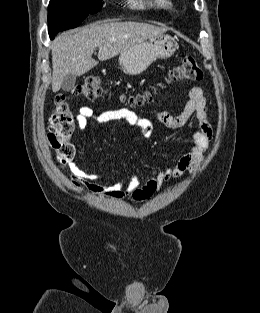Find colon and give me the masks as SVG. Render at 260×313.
<instances>
[{
	"instance_id": "obj_1",
	"label": "colon",
	"mask_w": 260,
	"mask_h": 313,
	"mask_svg": "<svg viewBox=\"0 0 260 313\" xmlns=\"http://www.w3.org/2000/svg\"><path fill=\"white\" fill-rule=\"evenodd\" d=\"M203 73L192 56L182 58L180 64L170 73V81L186 80L199 81ZM74 93L86 99L93 100L101 97L104 90L98 77H88L75 87ZM151 99L150 93L138 94L131 98L135 106H143ZM75 130V114L65 96L59 95L55 99V107L49 118L47 139L55 159L66 164L75 156V146L71 137Z\"/></svg>"
}]
</instances>
